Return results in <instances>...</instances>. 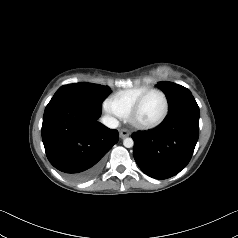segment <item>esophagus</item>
<instances>
[{"instance_id":"1","label":"esophagus","mask_w":238,"mask_h":238,"mask_svg":"<svg viewBox=\"0 0 238 238\" xmlns=\"http://www.w3.org/2000/svg\"><path fill=\"white\" fill-rule=\"evenodd\" d=\"M119 135H120V138L124 139L126 137H128L130 135V132L126 129H122L120 132H119Z\"/></svg>"}]
</instances>
